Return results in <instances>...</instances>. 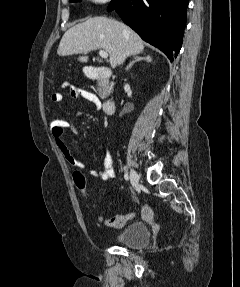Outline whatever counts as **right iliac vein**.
<instances>
[{
  "mask_svg": "<svg viewBox=\"0 0 240 287\" xmlns=\"http://www.w3.org/2000/svg\"><path fill=\"white\" fill-rule=\"evenodd\" d=\"M130 181L133 187L137 188L140 184V177L133 169L130 171Z\"/></svg>",
  "mask_w": 240,
  "mask_h": 287,
  "instance_id": "63e3f726",
  "label": "right iliac vein"
}]
</instances>
